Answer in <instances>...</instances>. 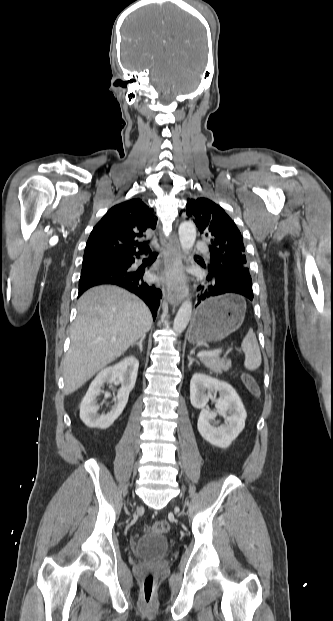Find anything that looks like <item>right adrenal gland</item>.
Returning a JSON list of instances; mask_svg holds the SVG:
<instances>
[{
    "mask_svg": "<svg viewBox=\"0 0 333 621\" xmlns=\"http://www.w3.org/2000/svg\"><path fill=\"white\" fill-rule=\"evenodd\" d=\"M145 338H146V335L144 334L143 336H141V338L139 339V341H138V342L133 343V344L131 345V347L138 346V347H139L140 352H142V351H143V342H144Z\"/></svg>",
    "mask_w": 333,
    "mask_h": 621,
    "instance_id": "obj_1",
    "label": "right adrenal gland"
}]
</instances>
